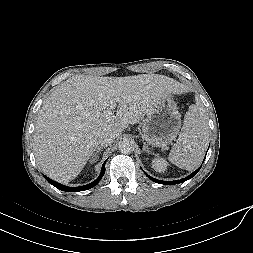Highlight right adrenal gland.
Masks as SVG:
<instances>
[{
  "label": "right adrenal gland",
  "mask_w": 253,
  "mask_h": 253,
  "mask_svg": "<svg viewBox=\"0 0 253 253\" xmlns=\"http://www.w3.org/2000/svg\"><path fill=\"white\" fill-rule=\"evenodd\" d=\"M102 149H103L102 146H98V147L94 150V152H93V154H92V156H91L90 163H94L95 160L98 159V154H99V152H100Z\"/></svg>",
  "instance_id": "1"
}]
</instances>
